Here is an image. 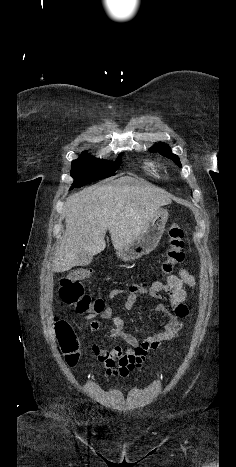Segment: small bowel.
I'll use <instances>...</instances> for the list:
<instances>
[{
    "label": "small bowel",
    "mask_w": 236,
    "mask_h": 467,
    "mask_svg": "<svg viewBox=\"0 0 236 467\" xmlns=\"http://www.w3.org/2000/svg\"><path fill=\"white\" fill-rule=\"evenodd\" d=\"M185 286L195 288L196 281L185 268H181L178 274L167 276L165 283L153 281L150 286L138 283L132 284L127 289H113L109 292L108 301H112L119 295H125L123 304L125 310L133 309L141 296L148 295L161 299L164 292L168 295L169 306L158 304L155 309L156 312L162 313L166 317L163 329L142 341L125 330L123 319L116 316L111 307H106L100 314L89 313L84 316V321L91 323L90 330L92 332H97L100 329L103 320L111 321L113 329L110 332V337L120 339L130 347L124 349L117 346L108 350L98 344L92 346L93 354L104 365L107 376L122 378L129 376L131 372L143 365L149 352L157 349L161 344L173 340L178 335L189 316V310L184 304L187 298Z\"/></svg>",
    "instance_id": "small-bowel-1"
}]
</instances>
